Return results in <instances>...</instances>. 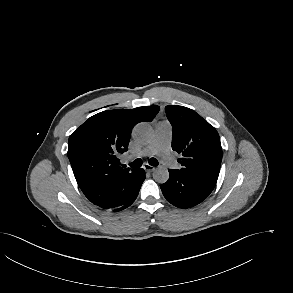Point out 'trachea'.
<instances>
[{
    "instance_id": "obj_1",
    "label": "trachea",
    "mask_w": 293,
    "mask_h": 293,
    "mask_svg": "<svg viewBox=\"0 0 293 293\" xmlns=\"http://www.w3.org/2000/svg\"><path fill=\"white\" fill-rule=\"evenodd\" d=\"M142 160L140 159V158H138V159H136L135 161H133L131 164H130V166L132 167V168H139V167H141L142 166ZM148 163L150 164V165H152V166H158V161H157V159H155V158H151V159H149L148 160Z\"/></svg>"
}]
</instances>
